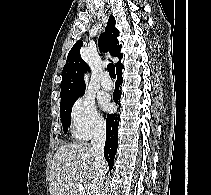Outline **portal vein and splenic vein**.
<instances>
[{"instance_id":"18ae733b","label":"portal vein and splenic vein","mask_w":211,"mask_h":195,"mask_svg":"<svg viewBox=\"0 0 211 195\" xmlns=\"http://www.w3.org/2000/svg\"><path fill=\"white\" fill-rule=\"evenodd\" d=\"M79 195H86V191L82 185L79 186Z\"/></svg>"}]
</instances>
